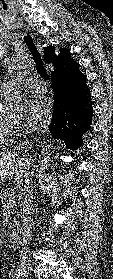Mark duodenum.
Listing matches in <instances>:
<instances>
[{
    "instance_id": "duodenum-1",
    "label": "duodenum",
    "mask_w": 113,
    "mask_h": 279,
    "mask_svg": "<svg viewBox=\"0 0 113 279\" xmlns=\"http://www.w3.org/2000/svg\"><path fill=\"white\" fill-rule=\"evenodd\" d=\"M20 235H21V227L16 225L13 227V229L11 230L10 233V244L16 248L19 244V240H20Z\"/></svg>"
}]
</instances>
